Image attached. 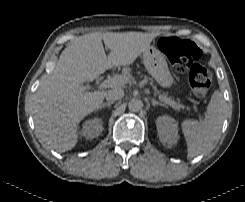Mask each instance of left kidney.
Listing matches in <instances>:
<instances>
[{"label": "left kidney", "instance_id": "obj_1", "mask_svg": "<svg viewBox=\"0 0 245 202\" xmlns=\"http://www.w3.org/2000/svg\"><path fill=\"white\" fill-rule=\"evenodd\" d=\"M157 132L159 140L164 146L172 147L177 144L178 125L174 118L169 116H160L156 120Z\"/></svg>", "mask_w": 245, "mask_h": 202}]
</instances>
